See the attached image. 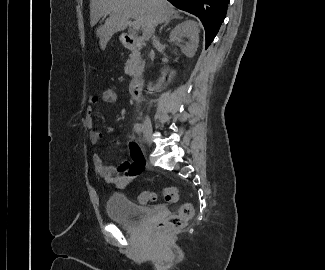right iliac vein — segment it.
Returning <instances> with one entry per match:
<instances>
[{
  "instance_id": "right-iliac-vein-1",
  "label": "right iliac vein",
  "mask_w": 325,
  "mask_h": 270,
  "mask_svg": "<svg viewBox=\"0 0 325 270\" xmlns=\"http://www.w3.org/2000/svg\"><path fill=\"white\" fill-rule=\"evenodd\" d=\"M143 134L146 138V140L151 143V140H152V126L150 123L146 122L144 123L143 125Z\"/></svg>"
}]
</instances>
